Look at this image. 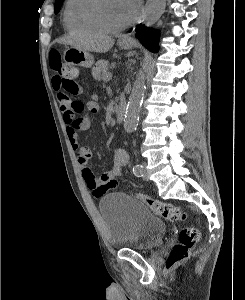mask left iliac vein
Instances as JSON below:
<instances>
[{"instance_id":"4c4485c4","label":"left iliac vein","mask_w":245,"mask_h":300,"mask_svg":"<svg viewBox=\"0 0 245 300\" xmlns=\"http://www.w3.org/2000/svg\"><path fill=\"white\" fill-rule=\"evenodd\" d=\"M141 176L144 180L148 181L149 177H148V173H147V169H146V163H142V173Z\"/></svg>"}]
</instances>
